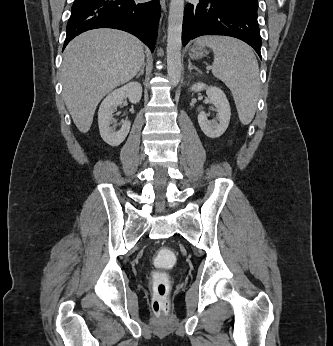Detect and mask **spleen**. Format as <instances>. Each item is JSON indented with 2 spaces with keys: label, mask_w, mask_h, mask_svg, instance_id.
I'll return each mask as SVG.
<instances>
[{
  "label": "spleen",
  "mask_w": 333,
  "mask_h": 346,
  "mask_svg": "<svg viewBox=\"0 0 333 346\" xmlns=\"http://www.w3.org/2000/svg\"><path fill=\"white\" fill-rule=\"evenodd\" d=\"M195 44L213 50L212 73L231 90L241 123L249 124L255 115L260 92L259 66L252 49L237 39L224 36H203Z\"/></svg>",
  "instance_id": "1"
}]
</instances>
